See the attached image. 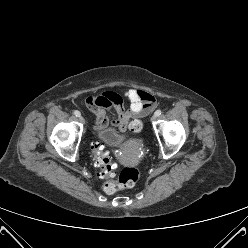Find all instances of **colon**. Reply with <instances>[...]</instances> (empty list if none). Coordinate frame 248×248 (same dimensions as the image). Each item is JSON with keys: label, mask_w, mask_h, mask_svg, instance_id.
<instances>
[{"label": "colon", "mask_w": 248, "mask_h": 248, "mask_svg": "<svg viewBox=\"0 0 248 248\" xmlns=\"http://www.w3.org/2000/svg\"><path fill=\"white\" fill-rule=\"evenodd\" d=\"M130 128L133 132H139L142 129V123L136 120L131 124ZM92 149L95 162L100 168V175L104 178L113 177L115 175L116 165L110 155L100 144H94ZM139 177L140 172L136 167H126L121 171L119 181L105 182L103 190L108 194H112L118 189L133 187L137 183Z\"/></svg>", "instance_id": "5ec220e1"}]
</instances>
